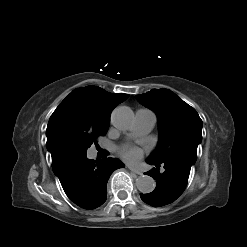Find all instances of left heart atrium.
<instances>
[{
	"label": "left heart atrium",
	"instance_id": "1",
	"mask_svg": "<svg viewBox=\"0 0 247 247\" xmlns=\"http://www.w3.org/2000/svg\"><path fill=\"white\" fill-rule=\"evenodd\" d=\"M120 155L126 161L136 163L142 157V150L136 146L127 145L120 149Z\"/></svg>",
	"mask_w": 247,
	"mask_h": 247
}]
</instances>
